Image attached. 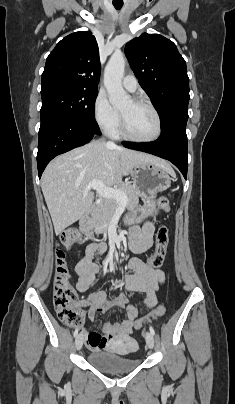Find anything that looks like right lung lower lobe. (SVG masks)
<instances>
[{
	"label": "right lung lower lobe",
	"mask_w": 235,
	"mask_h": 404,
	"mask_svg": "<svg viewBox=\"0 0 235 404\" xmlns=\"http://www.w3.org/2000/svg\"><path fill=\"white\" fill-rule=\"evenodd\" d=\"M97 134H100L97 124L92 125L64 118L42 121L37 154L39 178L54 157L85 145Z\"/></svg>",
	"instance_id": "right-lung-lower-lobe-1"
}]
</instances>
